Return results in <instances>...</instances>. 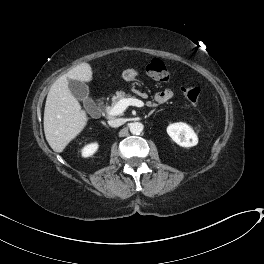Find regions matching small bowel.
Wrapping results in <instances>:
<instances>
[{"label": "small bowel", "mask_w": 264, "mask_h": 264, "mask_svg": "<svg viewBox=\"0 0 264 264\" xmlns=\"http://www.w3.org/2000/svg\"><path fill=\"white\" fill-rule=\"evenodd\" d=\"M173 96V90L170 88H167L161 92H158L155 94L153 101H149L147 105L149 107H154L158 104H162L168 100H170Z\"/></svg>", "instance_id": "1"}]
</instances>
